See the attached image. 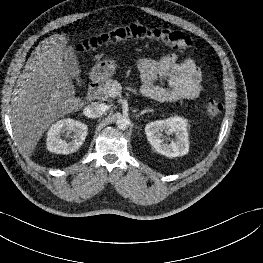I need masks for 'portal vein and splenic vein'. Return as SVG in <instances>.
Listing matches in <instances>:
<instances>
[{"mask_svg":"<svg viewBox=\"0 0 263 263\" xmlns=\"http://www.w3.org/2000/svg\"><path fill=\"white\" fill-rule=\"evenodd\" d=\"M119 93H120V86L113 87V88L110 90V94H111V95H118Z\"/></svg>","mask_w":263,"mask_h":263,"instance_id":"1","label":"portal vein and splenic vein"}]
</instances>
